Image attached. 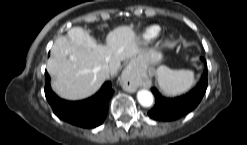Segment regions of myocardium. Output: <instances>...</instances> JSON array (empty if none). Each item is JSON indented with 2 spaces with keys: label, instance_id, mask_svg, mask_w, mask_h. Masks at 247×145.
<instances>
[{
  "label": "myocardium",
  "instance_id": "1",
  "mask_svg": "<svg viewBox=\"0 0 247 145\" xmlns=\"http://www.w3.org/2000/svg\"><path fill=\"white\" fill-rule=\"evenodd\" d=\"M168 42H169V38L166 37V38H165V44H167Z\"/></svg>",
  "mask_w": 247,
  "mask_h": 145
}]
</instances>
